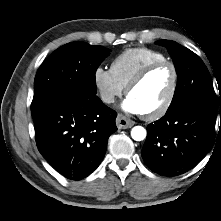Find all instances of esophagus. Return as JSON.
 <instances>
[{
  "mask_svg": "<svg viewBox=\"0 0 221 221\" xmlns=\"http://www.w3.org/2000/svg\"><path fill=\"white\" fill-rule=\"evenodd\" d=\"M135 124L134 121L126 118L122 114H118L116 118V125L119 129H127L131 128Z\"/></svg>",
  "mask_w": 221,
  "mask_h": 221,
  "instance_id": "1",
  "label": "esophagus"
}]
</instances>
